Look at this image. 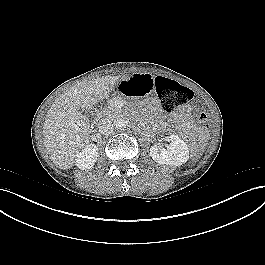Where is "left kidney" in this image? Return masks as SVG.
Returning a JSON list of instances; mask_svg holds the SVG:
<instances>
[{
	"label": "left kidney",
	"mask_w": 265,
	"mask_h": 265,
	"mask_svg": "<svg viewBox=\"0 0 265 265\" xmlns=\"http://www.w3.org/2000/svg\"><path fill=\"white\" fill-rule=\"evenodd\" d=\"M170 145L161 148L158 144L151 146L150 155L152 159L161 165L181 166L189 159L187 144L179 136L170 135Z\"/></svg>",
	"instance_id": "1"
}]
</instances>
